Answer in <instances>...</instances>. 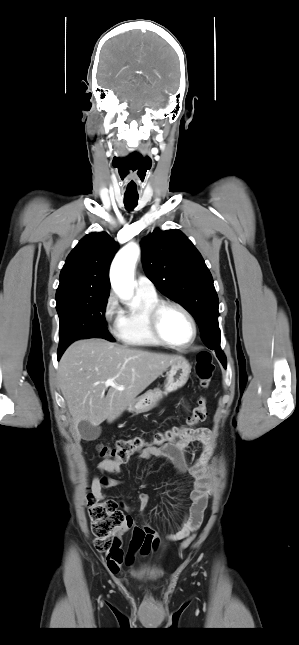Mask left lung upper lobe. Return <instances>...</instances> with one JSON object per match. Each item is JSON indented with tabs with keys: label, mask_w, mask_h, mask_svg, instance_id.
<instances>
[{
	"label": "left lung upper lobe",
	"mask_w": 299,
	"mask_h": 645,
	"mask_svg": "<svg viewBox=\"0 0 299 645\" xmlns=\"http://www.w3.org/2000/svg\"><path fill=\"white\" fill-rule=\"evenodd\" d=\"M147 277L168 298L180 303L195 318L206 346L215 350L222 365L218 296L213 278L192 242L177 229H156L141 242Z\"/></svg>",
	"instance_id": "obj_1"
}]
</instances>
